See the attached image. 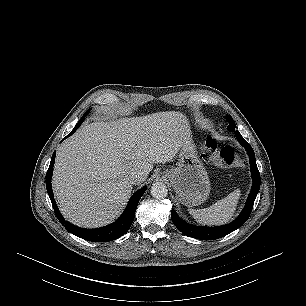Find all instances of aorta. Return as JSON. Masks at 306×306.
Returning a JSON list of instances; mask_svg holds the SVG:
<instances>
[{"label": "aorta", "instance_id": "aorta-1", "mask_svg": "<svg viewBox=\"0 0 306 306\" xmlns=\"http://www.w3.org/2000/svg\"><path fill=\"white\" fill-rule=\"evenodd\" d=\"M168 194L167 186L164 183L156 182L151 187V195L155 199H164Z\"/></svg>", "mask_w": 306, "mask_h": 306}]
</instances>
